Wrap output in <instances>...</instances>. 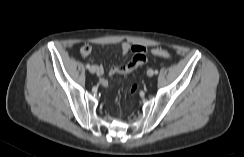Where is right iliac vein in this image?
I'll list each match as a JSON object with an SVG mask.
<instances>
[{
  "mask_svg": "<svg viewBox=\"0 0 244 157\" xmlns=\"http://www.w3.org/2000/svg\"><path fill=\"white\" fill-rule=\"evenodd\" d=\"M90 73L94 74L96 73V69L94 66H91L90 69H89Z\"/></svg>",
  "mask_w": 244,
  "mask_h": 157,
  "instance_id": "1",
  "label": "right iliac vein"
}]
</instances>
